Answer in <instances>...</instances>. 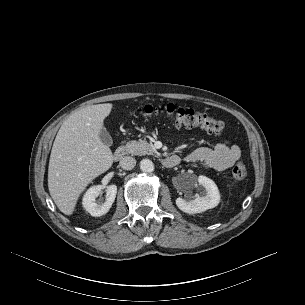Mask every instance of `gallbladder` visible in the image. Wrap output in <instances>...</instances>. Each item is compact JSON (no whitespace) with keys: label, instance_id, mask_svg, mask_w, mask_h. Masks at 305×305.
Listing matches in <instances>:
<instances>
[{"label":"gallbladder","instance_id":"obj_1","mask_svg":"<svg viewBox=\"0 0 305 305\" xmlns=\"http://www.w3.org/2000/svg\"><path fill=\"white\" fill-rule=\"evenodd\" d=\"M99 137L105 145L111 146L113 144L112 137L109 134V132L106 130V128H102V130L100 131Z\"/></svg>","mask_w":305,"mask_h":305}]
</instances>
